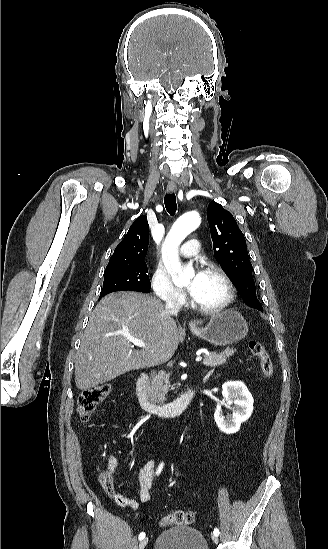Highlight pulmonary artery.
<instances>
[{"instance_id": "pulmonary-artery-1", "label": "pulmonary artery", "mask_w": 328, "mask_h": 549, "mask_svg": "<svg viewBox=\"0 0 328 549\" xmlns=\"http://www.w3.org/2000/svg\"><path fill=\"white\" fill-rule=\"evenodd\" d=\"M202 248V243L195 238H192L190 241L186 242L185 246L179 249V253L184 258L194 257L196 252H200Z\"/></svg>"}]
</instances>
